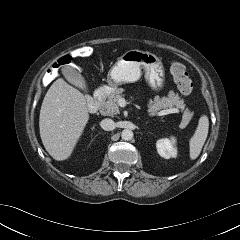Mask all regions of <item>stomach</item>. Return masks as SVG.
I'll list each match as a JSON object with an SVG mask.
<instances>
[{
    "label": "stomach",
    "instance_id": "stomach-1",
    "mask_svg": "<svg viewBox=\"0 0 240 240\" xmlns=\"http://www.w3.org/2000/svg\"><path fill=\"white\" fill-rule=\"evenodd\" d=\"M142 69L149 86L157 91L165 83V70L162 61L153 53L132 49L126 51L110 69L107 82L109 87L116 88L125 83L140 79Z\"/></svg>",
    "mask_w": 240,
    "mask_h": 240
}]
</instances>
